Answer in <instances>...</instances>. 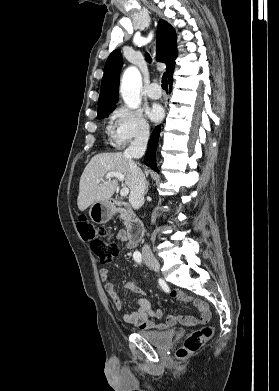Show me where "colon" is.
I'll return each mask as SVG.
<instances>
[{
  "label": "colon",
  "mask_w": 279,
  "mask_h": 391,
  "mask_svg": "<svg viewBox=\"0 0 279 391\" xmlns=\"http://www.w3.org/2000/svg\"><path fill=\"white\" fill-rule=\"evenodd\" d=\"M78 231L81 237L88 241L93 253L101 263H109L118 255L119 248L114 242L107 240L106 231L102 228H96L85 218L80 219ZM213 335L211 326H203L191 332L185 339L183 345L178 349L177 356L185 358L196 352Z\"/></svg>",
  "instance_id": "colon-1"
}]
</instances>
